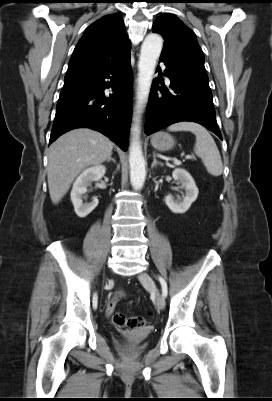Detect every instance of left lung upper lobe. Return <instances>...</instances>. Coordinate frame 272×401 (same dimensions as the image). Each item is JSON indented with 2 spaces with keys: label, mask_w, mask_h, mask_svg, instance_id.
<instances>
[{
  "label": "left lung upper lobe",
  "mask_w": 272,
  "mask_h": 401,
  "mask_svg": "<svg viewBox=\"0 0 272 401\" xmlns=\"http://www.w3.org/2000/svg\"><path fill=\"white\" fill-rule=\"evenodd\" d=\"M152 31L164 37L161 57L206 74L204 55L195 33L176 16L161 15L155 20Z\"/></svg>",
  "instance_id": "1"
}]
</instances>
